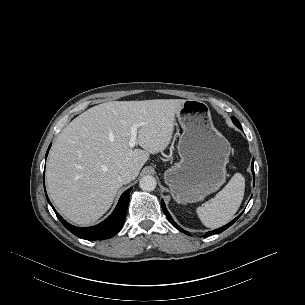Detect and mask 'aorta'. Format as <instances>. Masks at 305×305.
Returning <instances> with one entry per match:
<instances>
[{
  "mask_svg": "<svg viewBox=\"0 0 305 305\" xmlns=\"http://www.w3.org/2000/svg\"><path fill=\"white\" fill-rule=\"evenodd\" d=\"M139 186L143 191H153L157 186V182L153 176L146 175L140 179Z\"/></svg>",
  "mask_w": 305,
  "mask_h": 305,
  "instance_id": "762f6f07",
  "label": "aorta"
}]
</instances>
